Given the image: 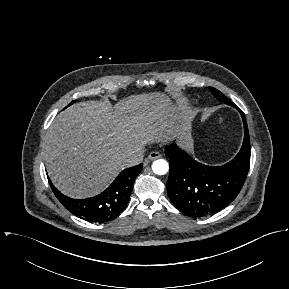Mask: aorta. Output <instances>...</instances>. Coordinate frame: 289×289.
Wrapping results in <instances>:
<instances>
[{"label":"aorta","instance_id":"aorta-1","mask_svg":"<svg viewBox=\"0 0 289 289\" xmlns=\"http://www.w3.org/2000/svg\"><path fill=\"white\" fill-rule=\"evenodd\" d=\"M152 170L157 175H164L169 170V164L164 159H158V160L153 162Z\"/></svg>","mask_w":289,"mask_h":289}]
</instances>
